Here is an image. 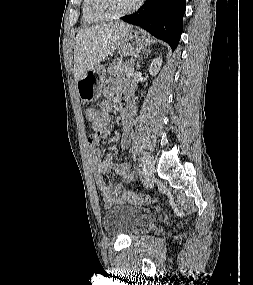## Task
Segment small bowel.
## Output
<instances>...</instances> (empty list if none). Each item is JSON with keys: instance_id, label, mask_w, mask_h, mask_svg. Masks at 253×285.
I'll return each mask as SVG.
<instances>
[{"instance_id": "1", "label": "small bowel", "mask_w": 253, "mask_h": 285, "mask_svg": "<svg viewBox=\"0 0 253 285\" xmlns=\"http://www.w3.org/2000/svg\"><path fill=\"white\" fill-rule=\"evenodd\" d=\"M132 86L125 84L118 79H108L103 87V94L106 98L117 97L122 114L123 133L121 138V149H128L133 137V113L134 105L130 99ZM111 101L104 100L100 103V111H96L95 119L92 121L94 133L88 138V146L91 149V160L93 166L94 180L101 194L105 208L122 204L127 201L125 193L127 189L121 184H108L104 181L103 175L109 171L112 166V157L110 154H103L98 145L102 139L108 137L109 113L112 111ZM114 170L124 183H130L134 176L130 171L128 163L117 164Z\"/></svg>"}]
</instances>
